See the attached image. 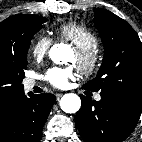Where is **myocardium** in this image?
I'll return each instance as SVG.
<instances>
[{"mask_svg": "<svg viewBox=\"0 0 142 142\" xmlns=\"http://www.w3.org/2000/svg\"><path fill=\"white\" fill-rule=\"evenodd\" d=\"M76 67L85 76L98 71L102 63V55L97 48L75 50Z\"/></svg>", "mask_w": 142, "mask_h": 142, "instance_id": "1", "label": "myocardium"}]
</instances>
